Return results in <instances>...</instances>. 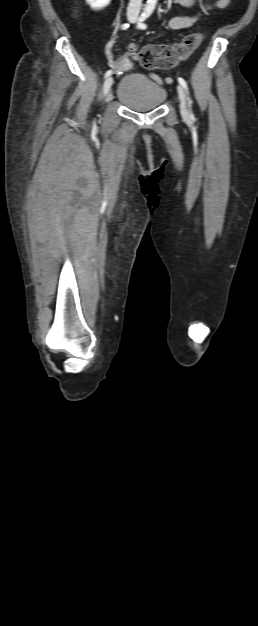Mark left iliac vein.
Instances as JSON below:
<instances>
[{"mask_svg":"<svg viewBox=\"0 0 258 626\" xmlns=\"http://www.w3.org/2000/svg\"><path fill=\"white\" fill-rule=\"evenodd\" d=\"M177 92L179 95V100H180V110H181V114L183 116H188V107H187V102H186V94L184 92V89L181 85L177 86Z\"/></svg>","mask_w":258,"mask_h":626,"instance_id":"1","label":"left iliac vein"}]
</instances>
